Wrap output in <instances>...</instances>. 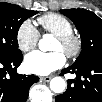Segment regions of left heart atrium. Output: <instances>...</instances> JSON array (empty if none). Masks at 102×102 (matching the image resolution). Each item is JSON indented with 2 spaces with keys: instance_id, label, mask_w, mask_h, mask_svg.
<instances>
[{
  "instance_id": "left-heart-atrium-1",
  "label": "left heart atrium",
  "mask_w": 102,
  "mask_h": 102,
  "mask_svg": "<svg viewBox=\"0 0 102 102\" xmlns=\"http://www.w3.org/2000/svg\"><path fill=\"white\" fill-rule=\"evenodd\" d=\"M66 58L60 51L41 52L33 51L25 58L27 69L37 75H48L65 65Z\"/></svg>"
}]
</instances>
